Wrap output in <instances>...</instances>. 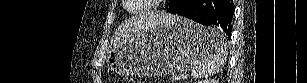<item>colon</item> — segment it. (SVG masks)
<instances>
[{
  "instance_id": "5ec220e1",
  "label": "colon",
  "mask_w": 307,
  "mask_h": 83,
  "mask_svg": "<svg viewBox=\"0 0 307 83\" xmlns=\"http://www.w3.org/2000/svg\"><path fill=\"white\" fill-rule=\"evenodd\" d=\"M116 83H134V80L126 79V78H119L115 81Z\"/></svg>"
}]
</instances>
